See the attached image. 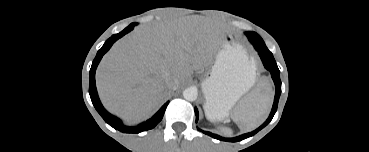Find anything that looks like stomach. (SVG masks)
Instances as JSON below:
<instances>
[{"instance_id": "stomach-1", "label": "stomach", "mask_w": 369, "mask_h": 152, "mask_svg": "<svg viewBox=\"0 0 369 152\" xmlns=\"http://www.w3.org/2000/svg\"><path fill=\"white\" fill-rule=\"evenodd\" d=\"M255 82L254 61L237 42L235 34H224L214 65L202 82L207 118L210 120L226 118L237 100Z\"/></svg>"}]
</instances>
